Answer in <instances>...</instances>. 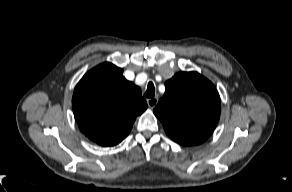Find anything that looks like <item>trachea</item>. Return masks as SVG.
Returning a JSON list of instances; mask_svg holds the SVG:
<instances>
[{
    "label": "trachea",
    "instance_id": "3493384b",
    "mask_svg": "<svg viewBox=\"0 0 292 192\" xmlns=\"http://www.w3.org/2000/svg\"><path fill=\"white\" fill-rule=\"evenodd\" d=\"M154 95H155L154 84L152 82H149L148 86H147V90H146L144 96L147 97V98H153Z\"/></svg>",
    "mask_w": 292,
    "mask_h": 192
}]
</instances>
